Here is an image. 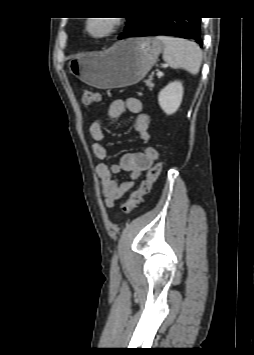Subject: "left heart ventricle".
I'll return each instance as SVG.
<instances>
[{
    "label": "left heart ventricle",
    "mask_w": 254,
    "mask_h": 355,
    "mask_svg": "<svg viewBox=\"0 0 254 355\" xmlns=\"http://www.w3.org/2000/svg\"><path fill=\"white\" fill-rule=\"evenodd\" d=\"M105 29H106V25L102 22L96 21L91 25L92 32L97 34L102 33Z\"/></svg>",
    "instance_id": "obj_1"
}]
</instances>
